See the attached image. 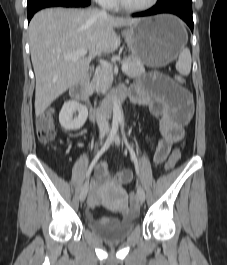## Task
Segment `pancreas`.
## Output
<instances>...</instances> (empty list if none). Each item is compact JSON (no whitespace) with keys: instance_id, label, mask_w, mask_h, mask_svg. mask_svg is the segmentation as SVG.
<instances>
[{"instance_id":"1","label":"pancreas","mask_w":227,"mask_h":265,"mask_svg":"<svg viewBox=\"0 0 227 265\" xmlns=\"http://www.w3.org/2000/svg\"><path fill=\"white\" fill-rule=\"evenodd\" d=\"M123 64H127L128 69L124 72L130 78L139 76L145 72L143 63L139 59L133 56L125 58L123 60ZM112 82H113L112 71L109 68H102L98 70L92 87L97 92L99 91L102 93H106V91L112 85Z\"/></svg>"}]
</instances>
